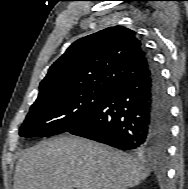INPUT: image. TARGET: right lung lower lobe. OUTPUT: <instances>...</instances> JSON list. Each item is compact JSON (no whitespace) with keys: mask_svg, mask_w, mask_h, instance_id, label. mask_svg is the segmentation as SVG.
I'll use <instances>...</instances> for the list:
<instances>
[{"mask_svg":"<svg viewBox=\"0 0 188 189\" xmlns=\"http://www.w3.org/2000/svg\"><path fill=\"white\" fill-rule=\"evenodd\" d=\"M147 57L146 75L112 90L67 132L122 150L165 153L171 134L170 102L157 66Z\"/></svg>","mask_w":188,"mask_h":189,"instance_id":"98d812e1","label":"right lung lower lobe"}]
</instances>
